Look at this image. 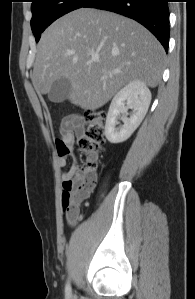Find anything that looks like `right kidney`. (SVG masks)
<instances>
[{"mask_svg":"<svg viewBox=\"0 0 195 299\" xmlns=\"http://www.w3.org/2000/svg\"><path fill=\"white\" fill-rule=\"evenodd\" d=\"M151 102V92L140 80L129 82L112 99L105 124V136L110 143L126 141L144 119ZM128 109H132L128 117ZM124 123L118 125V119Z\"/></svg>","mask_w":195,"mask_h":299,"instance_id":"obj_1","label":"right kidney"}]
</instances>
